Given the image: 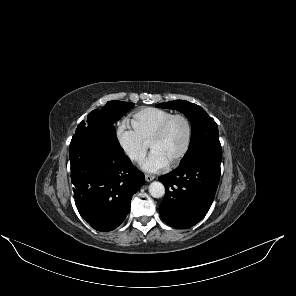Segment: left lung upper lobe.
Instances as JSON below:
<instances>
[{
	"mask_svg": "<svg viewBox=\"0 0 296 296\" xmlns=\"http://www.w3.org/2000/svg\"><path fill=\"white\" fill-rule=\"evenodd\" d=\"M157 106L176 109L182 112L191 122L192 137L189 149L180 164L193 159L197 155L221 150L217 124L202 107L185 100L160 103Z\"/></svg>",
	"mask_w": 296,
	"mask_h": 296,
	"instance_id": "5c2ea615",
	"label": "left lung upper lobe"
}]
</instances>
